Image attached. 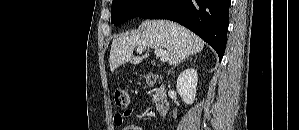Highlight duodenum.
<instances>
[{
	"label": "duodenum",
	"mask_w": 299,
	"mask_h": 130,
	"mask_svg": "<svg viewBox=\"0 0 299 130\" xmlns=\"http://www.w3.org/2000/svg\"><path fill=\"white\" fill-rule=\"evenodd\" d=\"M153 101L157 113L164 116L168 113L170 105L168 93L164 85H159L153 92Z\"/></svg>",
	"instance_id": "duodenum-1"
}]
</instances>
